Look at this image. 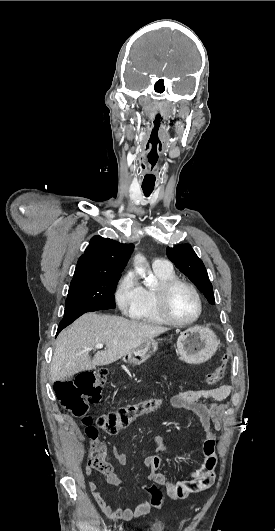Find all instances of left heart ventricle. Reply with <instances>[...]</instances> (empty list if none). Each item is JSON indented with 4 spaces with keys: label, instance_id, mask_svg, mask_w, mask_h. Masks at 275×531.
<instances>
[{
    "label": "left heart ventricle",
    "instance_id": "obj_1",
    "mask_svg": "<svg viewBox=\"0 0 275 531\" xmlns=\"http://www.w3.org/2000/svg\"><path fill=\"white\" fill-rule=\"evenodd\" d=\"M168 308L174 318L186 321L193 318L197 312V303L193 294L184 286L173 288L168 299Z\"/></svg>",
    "mask_w": 275,
    "mask_h": 531
}]
</instances>
